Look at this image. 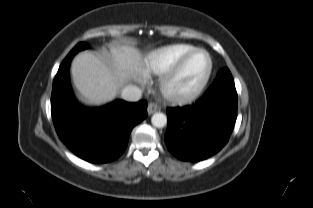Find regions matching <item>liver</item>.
Listing matches in <instances>:
<instances>
[{"mask_svg": "<svg viewBox=\"0 0 313 208\" xmlns=\"http://www.w3.org/2000/svg\"><path fill=\"white\" fill-rule=\"evenodd\" d=\"M112 61L90 52L79 53L72 61L71 76L80 99L90 105L113 100L120 88L141 73L146 59L133 46H111Z\"/></svg>", "mask_w": 313, "mask_h": 208, "instance_id": "1", "label": "liver"}]
</instances>
